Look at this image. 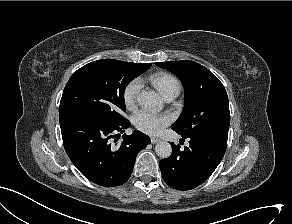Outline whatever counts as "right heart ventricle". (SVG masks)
Masks as SVG:
<instances>
[{
	"label": "right heart ventricle",
	"mask_w": 292,
	"mask_h": 224,
	"mask_svg": "<svg viewBox=\"0 0 292 224\" xmlns=\"http://www.w3.org/2000/svg\"><path fill=\"white\" fill-rule=\"evenodd\" d=\"M150 80L163 97L169 93L177 95L181 88L178 79L168 73L154 75Z\"/></svg>",
	"instance_id": "1"
}]
</instances>
